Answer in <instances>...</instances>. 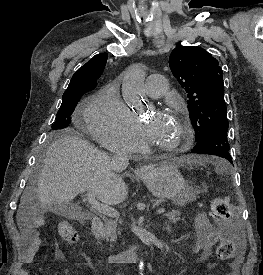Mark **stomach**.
Listing matches in <instances>:
<instances>
[{
    "instance_id": "obj_1",
    "label": "stomach",
    "mask_w": 263,
    "mask_h": 275,
    "mask_svg": "<svg viewBox=\"0 0 263 275\" xmlns=\"http://www.w3.org/2000/svg\"><path fill=\"white\" fill-rule=\"evenodd\" d=\"M142 179L154 196L171 199L178 205H185L195 200L198 193L186 184L176 162L148 167L142 174Z\"/></svg>"
}]
</instances>
